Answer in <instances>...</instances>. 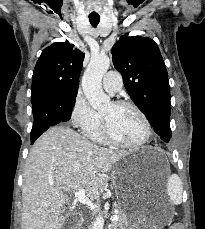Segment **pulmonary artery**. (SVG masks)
I'll return each instance as SVG.
<instances>
[{
  "label": "pulmonary artery",
  "instance_id": "e3ab8cb5",
  "mask_svg": "<svg viewBox=\"0 0 205 229\" xmlns=\"http://www.w3.org/2000/svg\"><path fill=\"white\" fill-rule=\"evenodd\" d=\"M103 88L110 94H115L121 89L122 78L119 72L109 71L103 77Z\"/></svg>",
  "mask_w": 205,
  "mask_h": 229
}]
</instances>
